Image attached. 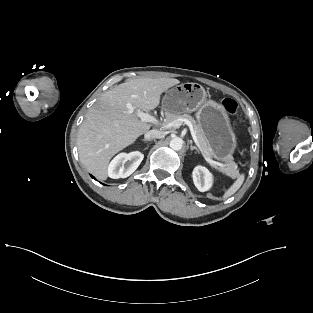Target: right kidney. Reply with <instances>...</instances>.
<instances>
[{"label": "right kidney", "instance_id": "right-kidney-1", "mask_svg": "<svg viewBox=\"0 0 313 313\" xmlns=\"http://www.w3.org/2000/svg\"><path fill=\"white\" fill-rule=\"evenodd\" d=\"M144 155L139 151L118 154L108 166V176L113 179L130 176L140 165Z\"/></svg>", "mask_w": 313, "mask_h": 313}]
</instances>
